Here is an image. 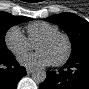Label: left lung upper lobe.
<instances>
[{"mask_svg": "<svg viewBox=\"0 0 89 89\" xmlns=\"http://www.w3.org/2000/svg\"><path fill=\"white\" fill-rule=\"evenodd\" d=\"M60 26L69 36L72 52L69 59L89 53V22L72 13L52 15L45 19Z\"/></svg>", "mask_w": 89, "mask_h": 89, "instance_id": "left-lung-upper-lobe-1", "label": "left lung upper lobe"}]
</instances>
